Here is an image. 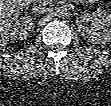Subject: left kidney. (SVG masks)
<instances>
[{"mask_svg": "<svg viewBox=\"0 0 111 106\" xmlns=\"http://www.w3.org/2000/svg\"><path fill=\"white\" fill-rule=\"evenodd\" d=\"M91 22V25L88 24ZM81 35L91 43L111 41V14L106 10L97 9L92 14L82 13L76 18Z\"/></svg>", "mask_w": 111, "mask_h": 106, "instance_id": "1", "label": "left kidney"}]
</instances>
